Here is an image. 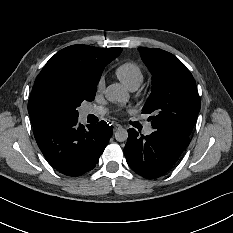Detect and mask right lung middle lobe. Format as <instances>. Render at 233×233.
<instances>
[{"label":"right lung middle lobe","instance_id":"dd1d6c3e","mask_svg":"<svg viewBox=\"0 0 233 233\" xmlns=\"http://www.w3.org/2000/svg\"><path fill=\"white\" fill-rule=\"evenodd\" d=\"M70 80H55L42 91L39 116L45 122L78 119L77 107L84 100L93 101L96 85Z\"/></svg>","mask_w":233,"mask_h":233}]
</instances>
